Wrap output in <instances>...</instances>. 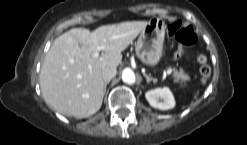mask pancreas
<instances>
[{"label": "pancreas", "mask_w": 247, "mask_h": 145, "mask_svg": "<svg viewBox=\"0 0 247 145\" xmlns=\"http://www.w3.org/2000/svg\"><path fill=\"white\" fill-rule=\"evenodd\" d=\"M173 76L177 81L185 82L189 80V76L183 70L173 69Z\"/></svg>", "instance_id": "cf45deb5"}]
</instances>
